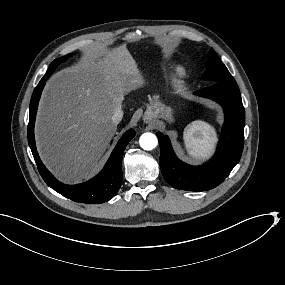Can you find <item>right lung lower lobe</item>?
<instances>
[{
  "mask_svg": "<svg viewBox=\"0 0 285 285\" xmlns=\"http://www.w3.org/2000/svg\"><path fill=\"white\" fill-rule=\"evenodd\" d=\"M45 81H40L35 88L30 101V117L28 124V143L31 148L33 157L37 164L40 175L46 184L54 189L59 194L76 202L88 204H100L111 199L119 190L123 175H122V157L123 152L129 141L135 136L133 129L128 130L118 144L114 148L109 160L107 161L104 169L94 178L89 181L77 184L66 185L59 182L55 177L46 169L39 155L36 151L34 139V122L38 102L45 86Z\"/></svg>",
  "mask_w": 285,
  "mask_h": 285,
  "instance_id": "98d812e1",
  "label": "right lung lower lobe"
}]
</instances>
